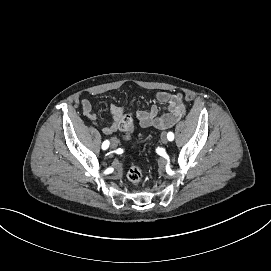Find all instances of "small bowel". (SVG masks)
I'll return each instance as SVG.
<instances>
[{"label": "small bowel", "instance_id": "1", "mask_svg": "<svg viewBox=\"0 0 271 271\" xmlns=\"http://www.w3.org/2000/svg\"><path fill=\"white\" fill-rule=\"evenodd\" d=\"M156 100L159 104L167 105L168 110L166 113L160 114L158 106L154 104L149 110L138 111L136 117L143 128H169L179 121L186 112L184 96L181 93L160 91L156 94ZM81 109L84 116L91 120H96V114L93 111L92 104L89 100H81ZM109 110L112 115V121L102 127L103 133L107 135L117 131L125 112L124 108L115 104H112Z\"/></svg>", "mask_w": 271, "mask_h": 271}]
</instances>
